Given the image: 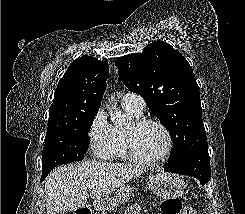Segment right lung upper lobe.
<instances>
[{"instance_id":"obj_1","label":"right lung upper lobe","mask_w":245,"mask_h":214,"mask_svg":"<svg viewBox=\"0 0 245 214\" xmlns=\"http://www.w3.org/2000/svg\"><path fill=\"white\" fill-rule=\"evenodd\" d=\"M108 74L106 61L88 55L75 59L55 90L46 135L71 128L82 115L98 111Z\"/></svg>"}]
</instances>
